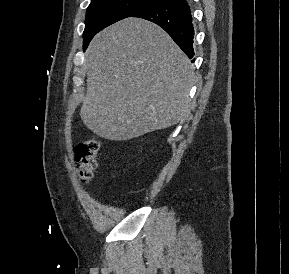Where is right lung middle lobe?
<instances>
[{"label":"right lung middle lobe","mask_w":289,"mask_h":274,"mask_svg":"<svg viewBox=\"0 0 289 274\" xmlns=\"http://www.w3.org/2000/svg\"><path fill=\"white\" fill-rule=\"evenodd\" d=\"M162 0H92L85 20L83 48H87L95 34L105 27L131 17L137 12Z\"/></svg>","instance_id":"right-lung-middle-lobe-1"}]
</instances>
